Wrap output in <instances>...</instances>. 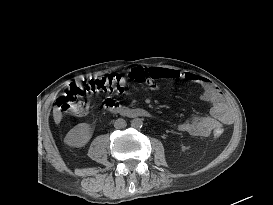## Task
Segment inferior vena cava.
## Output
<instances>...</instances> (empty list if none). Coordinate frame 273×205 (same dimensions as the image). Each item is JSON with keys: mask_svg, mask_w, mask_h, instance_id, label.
I'll return each instance as SVG.
<instances>
[{"mask_svg": "<svg viewBox=\"0 0 273 205\" xmlns=\"http://www.w3.org/2000/svg\"><path fill=\"white\" fill-rule=\"evenodd\" d=\"M127 126V123L124 119L122 118H118L115 122H114V127L116 129H122L125 128Z\"/></svg>", "mask_w": 273, "mask_h": 205, "instance_id": "obj_1", "label": "inferior vena cava"}]
</instances>
